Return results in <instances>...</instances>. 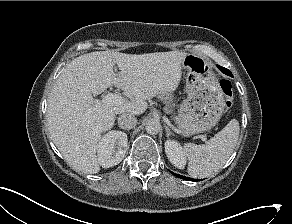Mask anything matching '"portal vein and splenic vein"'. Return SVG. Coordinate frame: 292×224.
Listing matches in <instances>:
<instances>
[{"label": "portal vein and splenic vein", "instance_id": "18ae733b", "mask_svg": "<svg viewBox=\"0 0 292 224\" xmlns=\"http://www.w3.org/2000/svg\"><path fill=\"white\" fill-rule=\"evenodd\" d=\"M102 101L111 105H121L124 102V98L120 96L119 94L109 93L103 98ZM202 140L206 141L205 138H202Z\"/></svg>", "mask_w": 292, "mask_h": 224}]
</instances>
